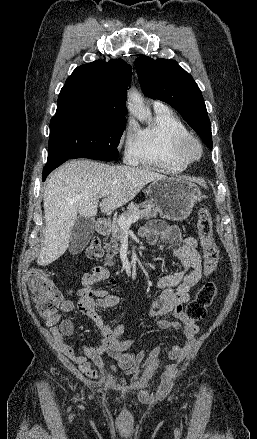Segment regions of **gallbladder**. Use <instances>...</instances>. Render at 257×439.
Listing matches in <instances>:
<instances>
[{
	"mask_svg": "<svg viewBox=\"0 0 257 439\" xmlns=\"http://www.w3.org/2000/svg\"><path fill=\"white\" fill-rule=\"evenodd\" d=\"M94 231V219L79 216L72 228L69 242V252L78 254L89 243Z\"/></svg>",
	"mask_w": 257,
	"mask_h": 439,
	"instance_id": "obj_1",
	"label": "gallbladder"
}]
</instances>
